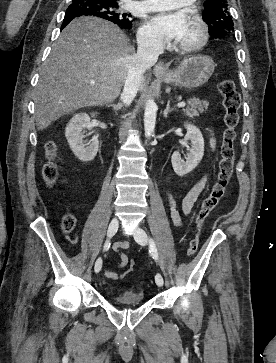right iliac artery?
Wrapping results in <instances>:
<instances>
[{"label":"right iliac artery","mask_w":276,"mask_h":363,"mask_svg":"<svg viewBox=\"0 0 276 363\" xmlns=\"http://www.w3.org/2000/svg\"><path fill=\"white\" fill-rule=\"evenodd\" d=\"M109 247H110V242H109V241H107V242L105 243V245H104V249H108ZM101 267H102V262H101V264H100V265L95 266V271H96V272H99V271L101 270Z\"/></svg>","instance_id":"right-iliac-artery-1"}]
</instances>
